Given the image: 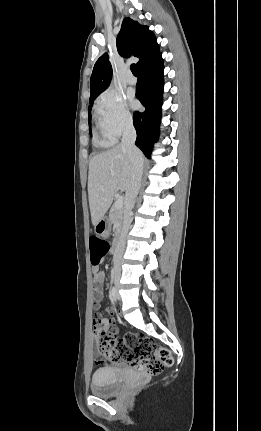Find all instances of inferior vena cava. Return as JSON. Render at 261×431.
Listing matches in <instances>:
<instances>
[{
	"label": "inferior vena cava",
	"instance_id": "obj_1",
	"mask_svg": "<svg viewBox=\"0 0 261 431\" xmlns=\"http://www.w3.org/2000/svg\"><path fill=\"white\" fill-rule=\"evenodd\" d=\"M135 140L136 131L133 126V122L130 120L126 123L123 131L122 145L127 149L130 157L132 164V177L130 186L126 191L123 226L114 253V274L116 277L121 275L120 260L125 250L126 238L132 221L131 216L132 209L134 208L135 204V198L138 195L142 181L143 161L140 156V150L135 146Z\"/></svg>",
	"mask_w": 261,
	"mask_h": 431
}]
</instances>
